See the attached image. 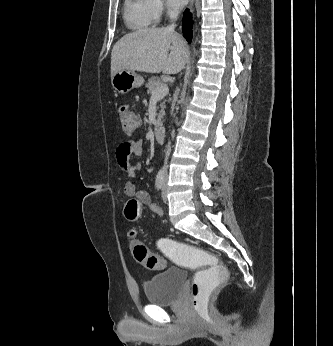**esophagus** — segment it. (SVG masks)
Listing matches in <instances>:
<instances>
[{"instance_id": "1", "label": "esophagus", "mask_w": 333, "mask_h": 346, "mask_svg": "<svg viewBox=\"0 0 333 346\" xmlns=\"http://www.w3.org/2000/svg\"><path fill=\"white\" fill-rule=\"evenodd\" d=\"M194 6V0H190V4L188 6L189 10L192 11Z\"/></svg>"}]
</instances>
